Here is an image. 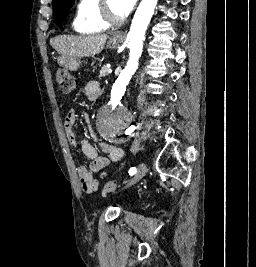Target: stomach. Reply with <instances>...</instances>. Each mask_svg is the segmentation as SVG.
Instances as JSON below:
<instances>
[{"mask_svg": "<svg viewBox=\"0 0 256 267\" xmlns=\"http://www.w3.org/2000/svg\"><path fill=\"white\" fill-rule=\"evenodd\" d=\"M120 40H123L121 32L120 34H117V36H114L113 34V38H110V40H108L107 48H116ZM78 64H80L79 60H74V62H57V67L77 68Z\"/></svg>", "mask_w": 256, "mask_h": 267, "instance_id": "0dacf381", "label": "stomach"}]
</instances>
